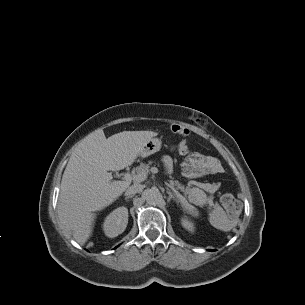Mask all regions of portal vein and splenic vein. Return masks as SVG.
Returning <instances> with one entry per match:
<instances>
[{
    "label": "portal vein and splenic vein",
    "instance_id": "1",
    "mask_svg": "<svg viewBox=\"0 0 305 305\" xmlns=\"http://www.w3.org/2000/svg\"><path fill=\"white\" fill-rule=\"evenodd\" d=\"M151 172L152 173H157L158 172V169L156 168V167H153V168H151ZM146 178H147V174L146 173H144V172H142V173H139V174H135V175H131V174H129V173H126L125 175H124V179L126 180V181H132V180H134V181H136V182H142V181H144V180H146ZM180 196V198L183 200V201H185V198L183 197V196H181V195H179Z\"/></svg>",
    "mask_w": 305,
    "mask_h": 305
}]
</instances>
